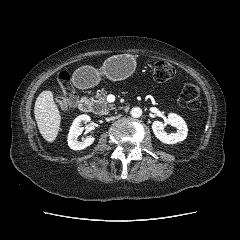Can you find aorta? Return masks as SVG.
Listing matches in <instances>:
<instances>
[{"instance_id": "aorta-1", "label": "aorta", "mask_w": 240, "mask_h": 240, "mask_svg": "<svg viewBox=\"0 0 240 240\" xmlns=\"http://www.w3.org/2000/svg\"><path fill=\"white\" fill-rule=\"evenodd\" d=\"M130 114L134 118H139L142 115V110L139 107H133L130 111Z\"/></svg>"}]
</instances>
